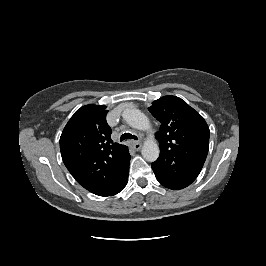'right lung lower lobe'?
I'll return each mask as SVG.
<instances>
[{
    "label": "right lung lower lobe",
    "instance_id": "right-lung-lower-lobe-1",
    "mask_svg": "<svg viewBox=\"0 0 266 266\" xmlns=\"http://www.w3.org/2000/svg\"><path fill=\"white\" fill-rule=\"evenodd\" d=\"M128 171H129V169H128ZM127 181H128V172L124 176L123 180L120 182V184L117 187L116 191L112 195H115V194L119 193L126 186Z\"/></svg>",
    "mask_w": 266,
    "mask_h": 266
}]
</instances>
